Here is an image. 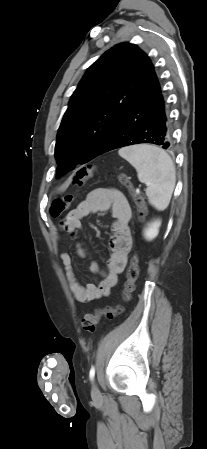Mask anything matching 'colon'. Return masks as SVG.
<instances>
[{
  "label": "colon",
  "mask_w": 207,
  "mask_h": 449,
  "mask_svg": "<svg viewBox=\"0 0 207 449\" xmlns=\"http://www.w3.org/2000/svg\"><path fill=\"white\" fill-rule=\"evenodd\" d=\"M94 171V166H86L80 168L74 178L73 184L76 186H82L86 180H88ZM117 179L119 183L124 186L129 194L132 196L138 211V217L143 219L145 216V204L142 196L133 188L129 178L123 174L118 173ZM75 199V195L73 193L64 194L57 199L54 200L50 213L54 218L60 217L73 203ZM139 275V258L137 255H133L130 260V265L127 270V279L124 284L123 291V301L126 302L130 299L131 293L135 288V282ZM123 311V307L121 305L116 307H105L103 309H99L94 313L86 314L81 319V326L85 332L92 333L94 332L97 323L99 320L104 317L107 319H115L118 315H120Z\"/></svg>",
  "instance_id": "obj_1"
}]
</instances>
